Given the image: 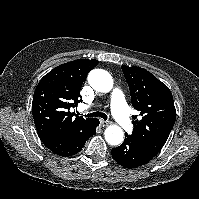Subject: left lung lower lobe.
Listing matches in <instances>:
<instances>
[{"mask_svg":"<svg viewBox=\"0 0 199 199\" xmlns=\"http://www.w3.org/2000/svg\"><path fill=\"white\" fill-rule=\"evenodd\" d=\"M158 152L139 143L129 135H125L124 142L112 148L113 159L125 168H135L148 163Z\"/></svg>","mask_w":199,"mask_h":199,"instance_id":"left-lung-lower-lobe-1","label":"left lung lower lobe"}]
</instances>
